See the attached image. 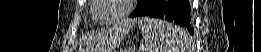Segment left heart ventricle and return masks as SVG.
Masks as SVG:
<instances>
[{"mask_svg": "<svg viewBox=\"0 0 261 52\" xmlns=\"http://www.w3.org/2000/svg\"><path fill=\"white\" fill-rule=\"evenodd\" d=\"M105 4L98 9L97 18L100 20H110L117 16L121 9L122 3L120 0H104Z\"/></svg>", "mask_w": 261, "mask_h": 52, "instance_id": "obj_1", "label": "left heart ventricle"}]
</instances>
